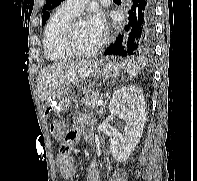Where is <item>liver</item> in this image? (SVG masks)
I'll return each instance as SVG.
<instances>
[{
    "instance_id": "obj_1",
    "label": "liver",
    "mask_w": 197,
    "mask_h": 181,
    "mask_svg": "<svg viewBox=\"0 0 197 181\" xmlns=\"http://www.w3.org/2000/svg\"><path fill=\"white\" fill-rule=\"evenodd\" d=\"M95 61L62 62L44 68L38 76L37 93L43 102L63 85L84 80L95 71Z\"/></svg>"
}]
</instances>
